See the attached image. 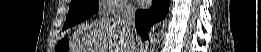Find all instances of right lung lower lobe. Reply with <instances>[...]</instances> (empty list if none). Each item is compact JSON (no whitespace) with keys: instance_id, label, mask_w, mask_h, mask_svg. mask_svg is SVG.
<instances>
[{"instance_id":"obj_1","label":"right lung lower lobe","mask_w":261,"mask_h":52,"mask_svg":"<svg viewBox=\"0 0 261 52\" xmlns=\"http://www.w3.org/2000/svg\"><path fill=\"white\" fill-rule=\"evenodd\" d=\"M170 0H153L149 10H138L135 14V27L143 39H148V31L169 11Z\"/></svg>"}]
</instances>
